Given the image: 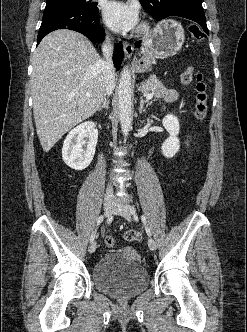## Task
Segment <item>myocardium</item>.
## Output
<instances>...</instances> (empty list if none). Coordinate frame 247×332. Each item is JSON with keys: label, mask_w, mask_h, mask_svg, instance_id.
<instances>
[{"label": "myocardium", "mask_w": 247, "mask_h": 332, "mask_svg": "<svg viewBox=\"0 0 247 332\" xmlns=\"http://www.w3.org/2000/svg\"><path fill=\"white\" fill-rule=\"evenodd\" d=\"M148 31V26L146 24H142L140 27H139V33L141 34H144Z\"/></svg>", "instance_id": "obj_1"}]
</instances>
